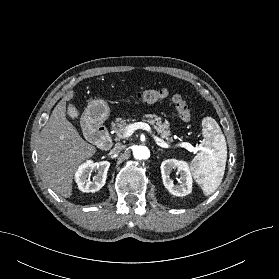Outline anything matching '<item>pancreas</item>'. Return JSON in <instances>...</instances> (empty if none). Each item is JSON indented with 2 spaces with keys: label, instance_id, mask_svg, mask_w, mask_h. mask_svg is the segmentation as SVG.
I'll return each instance as SVG.
<instances>
[{
  "label": "pancreas",
  "instance_id": "cf45deb5",
  "mask_svg": "<svg viewBox=\"0 0 279 279\" xmlns=\"http://www.w3.org/2000/svg\"><path fill=\"white\" fill-rule=\"evenodd\" d=\"M129 121L130 119L116 118V120L111 124L112 129L116 133V139L126 138L124 133ZM144 121L152 125L161 138L167 141H172L168 122L162 123L161 118L154 114L145 115Z\"/></svg>",
  "mask_w": 279,
  "mask_h": 279
}]
</instances>
